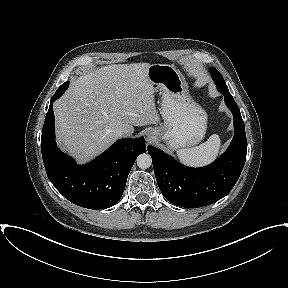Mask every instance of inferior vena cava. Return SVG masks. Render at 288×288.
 <instances>
[{"mask_svg": "<svg viewBox=\"0 0 288 288\" xmlns=\"http://www.w3.org/2000/svg\"><path fill=\"white\" fill-rule=\"evenodd\" d=\"M115 134H116L117 137H126L127 136V134H126L124 129H117L115 131Z\"/></svg>", "mask_w": 288, "mask_h": 288, "instance_id": "obj_1", "label": "inferior vena cava"}]
</instances>
